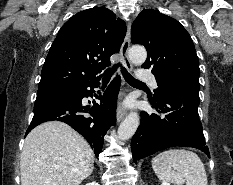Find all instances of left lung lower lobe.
Returning <instances> with one entry per match:
<instances>
[{"label":"left lung lower lobe","mask_w":233,"mask_h":185,"mask_svg":"<svg viewBox=\"0 0 233 185\" xmlns=\"http://www.w3.org/2000/svg\"><path fill=\"white\" fill-rule=\"evenodd\" d=\"M199 89L195 85H178L157 101L150 100L161 114L141 112V124L131 141L133 160L173 147H194L210 157L199 120Z\"/></svg>","instance_id":"obj_1"}]
</instances>
